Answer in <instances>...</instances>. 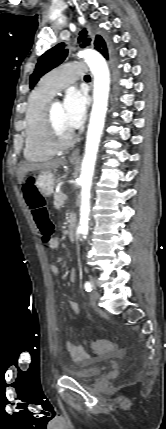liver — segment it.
Instances as JSON below:
<instances>
[{
  "label": "liver",
  "instance_id": "6515ba94",
  "mask_svg": "<svg viewBox=\"0 0 166 429\" xmlns=\"http://www.w3.org/2000/svg\"><path fill=\"white\" fill-rule=\"evenodd\" d=\"M65 158H58L45 163H23L17 170L18 181L21 184L28 172L40 171L42 173L56 170L60 165L64 164Z\"/></svg>",
  "mask_w": 166,
  "mask_h": 429
}]
</instances>
